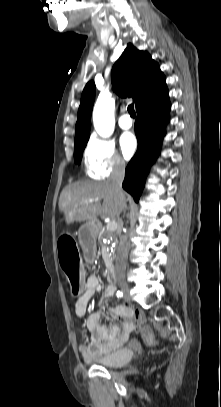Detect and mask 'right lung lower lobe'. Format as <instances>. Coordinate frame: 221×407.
<instances>
[{
	"mask_svg": "<svg viewBox=\"0 0 221 407\" xmlns=\"http://www.w3.org/2000/svg\"><path fill=\"white\" fill-rule=\"evenodd\" d=\"M169 92L165 87L155 97L141 105L137 110L135 134L138 148L125 170L123 188L138 202L145 185L150 166L157 158L165 126L169 122Z\"/></svg>",
	"mask_w": 221,
	"mask_h": 407,
	"instance_id": "1",
	"label": "right lung lower lobe"
}]
</instances>
